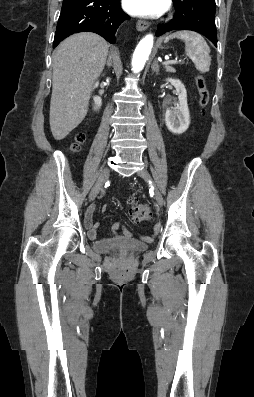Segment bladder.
Masks as SVG:
<instances>
[{
	"instance_id": "bladder-1",
	"label": "bladder",
	"mask_w": 254,
	"mask_h": 397,
	"mask_svg": "<svg viewBox=\"0 0 254 397\" xmlns=\"http://www.w3.org/2000/svg\"><path fill=\"white\" fill-rule=\"evenodd\" d=\"M93 247L100 252H112L117 249L118 244L111 240H101L95 241ZM126 248L130 252H138L145 250L146 245L140 241L131 239L126 242Z\"/></svg>"
}]
</instances>
